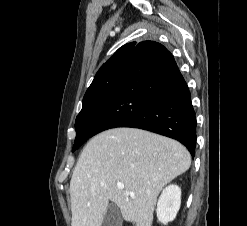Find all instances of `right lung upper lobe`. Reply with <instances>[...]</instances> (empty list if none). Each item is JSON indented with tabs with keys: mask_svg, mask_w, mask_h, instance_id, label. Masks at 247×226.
<instances>
[{
	"mask_svg": "<svg viewBox=\"0 0 247 226\" xmlns=\"http://www.w3.org/2000/svg\"><path fill=\"white\" fill-rule=\"evenodd\" d=\"M136 46V42H132V43H128L124 46H122L121 48H119L111 57L109 60H107V62L105 64H103L101 66V68L99 69V71L97 72L96 76L94 77L93 82L106 70V68L115 60H117L118 58L124 56V55H129L131 54V51L134 49V47ZM92 82V83H93ZM91 83V84H92Z\"/></svg>",
	"mask_w": 247,
	"mask_h": 226,
	"instance_id": "obj_1",
	"label": "right lung upper lobe"
}]
</instances>
